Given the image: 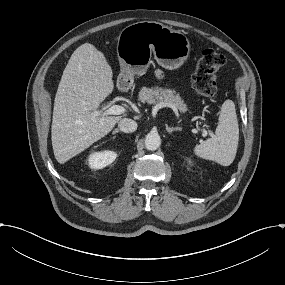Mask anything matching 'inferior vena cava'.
Returning a JSON list of instances; mask_svg holds the SVG:
<instances>
[{
    "instance_id": "obj_1",
    "label": "inferior vena cava",
    "mask_w": 285,
    "mask_h": 285,
    "mask_svg": "<svg viewBox=\"0 0 285 285\" xmlns=\"http://www.w3.org/2000/svg\"><path fill=\"white\" fill-rule=\"evenodd\" d=\"M118 127L125 133H131L137 129V123L132 119L124 118L119 121Z\"/></svg>"
}]
</instances>
